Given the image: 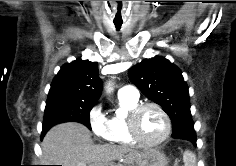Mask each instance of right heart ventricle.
<instances>
[{
    "label": "right heart ventricle",
    "mask_w": 236,
    "mask_h": 166,
    "mask_svg": "<svg viewBox=\"0 0 236 166\" xmlns=\"http://www.w3.org/2000/svg\"><path fill=\"white\" fill-rule=\"evenodd\" d=\"M119 104L125 113H129L139 104V102L138 100L119 97ZM108 127V140L111 143L124 147H135L137 145L129 135L126 124V116H111L108 119Z\"/></svg>",
    "instance_id": "1"
}]
</instances>
